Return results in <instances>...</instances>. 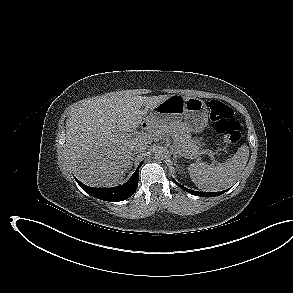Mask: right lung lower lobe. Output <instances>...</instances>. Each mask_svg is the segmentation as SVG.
I'll use <instances>...</instances> for the list:
<instances>
[{"label":"right lung lower lobe","instance_id":"98d812e1","mask_svg":"<svg viewBox=\"0 0 293 293\" xmlns=\"http://www.w3.org/2000/svg\"><path fill=\"white\" fill-rule=\"evenodd\" d=\"M140 166L141 164L139 167ZM138 176L139 171L137 169L125 184L113 188H93L81 183L78 179H75L80 187L88 194L98 199L116 202L122 201L134 194L138 185Z\"/></svg>","mask_w":293,"mask_h":293}]
</instances>
